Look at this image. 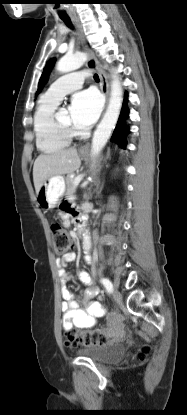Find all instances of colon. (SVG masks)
Listing matches in <instances>:
<instances>
[{"label": "colon", "instance_id": "5ec220e1", "mask_svg": "<svg viewBox=\"0 0 187 415\" xmlns=\"http://www.w3.org/2000/svg\"><path fill=\"white\" fill-rule=\"evenodd\" d=\"M54 252L58 256L65 255L72 246V239L59 224L51 226ZM125 337L122 329L114 330H94V331H73L68 337V344L71 345H105L115 342ZM149 348L144 346L138 353V357L143 359L147 356Z\"/></svg>", "mask_w": 187, "mask_h": 415}]
</instances>
